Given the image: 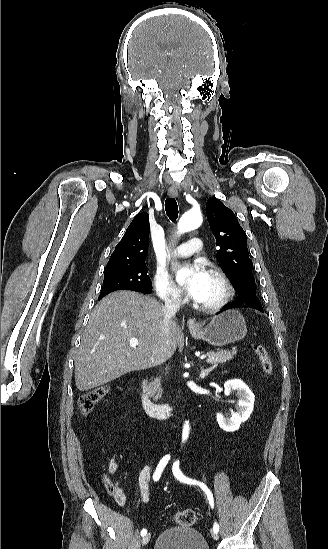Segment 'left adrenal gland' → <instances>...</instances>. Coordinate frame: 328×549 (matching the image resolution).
Segmentation results:
<instances>
[{
	"instance_id": "obj_1",
	"label": "left adrenal gland",
	"mask_w": 328,
	"mask_h": 549,
	"mask_svg": "<svg viewBox=\"0 0 328 549\" xmlns=\"http://www.w3.org/2000/svg\"><path fill=\"white\" fill-rule=\"evenodd\" d=\"M213 367H210V369H204V371H202V375H204V377H207L208 373H210V371H212Z\"/></svg>"
}]
</instances>
